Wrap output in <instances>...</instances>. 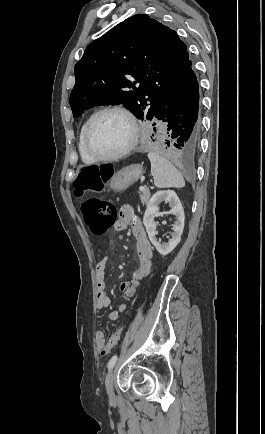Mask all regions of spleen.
<instances>
[{"instance_id":"spleen-1","label":"spleen","mask_w":265,"mask_h":434,"mask_svg":"<svg viewBox=\"0 0 265 434\" xmlns=\"http://www.w3.org/2000/svg\"><path fill=\"white\" fill-rule=\"evenodd\" d=\"M148 158L151 162V174L154 176L156 188H184L185 180L171 162L155 152H149Z\"/></svg>"}]
</instances>
